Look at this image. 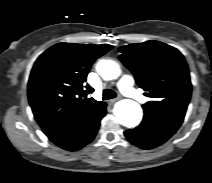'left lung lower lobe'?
Instances as JSON below:
<instances>
[{"label":"left lung lower lobe","instance_id":"1","mask_svg":"<svg viewBox=\"0 0 212 183\" xmlns=\"http://www.w3.org/2000/svg\"><path fill=\"white\" fill-rule=\"evenodd\" d=\"M180 126L179 122L145 113L141 124L124 134L132 144L142 149H151L167 141Z\"/></svg>","mask_w":212,"mask_h":183}]
</instances>
